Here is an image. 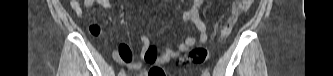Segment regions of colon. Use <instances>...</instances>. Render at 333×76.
<instances>
[{"mask_svg":"<svg viewBox=\"0 0 333 76\" xmlns=\"http://www.w3.org/2000/svg\"><path fill=\"white\" fill-rule=\"evenodd\" d=\"M252 0H237L234 2V15H238L246 10L249 9V7L252 4ZM231 32V23H227L225 27L221 31V37L226 38ZM208 56V52L205 48H196L192 50L189 55L185 58H181L179 60V63L183 64H202L206 61Z\"/></svg>","mask_w":333,"mask_h":76,"instance_id":"obj_1","label":"colon"}]
</instances>
